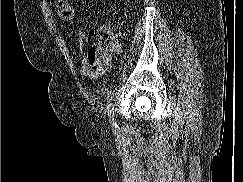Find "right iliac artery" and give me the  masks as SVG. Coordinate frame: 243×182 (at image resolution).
Instances as JSON below:
<instances>
[{
	"mask_svg": "<svg viewBox=\"0 0 243 182\" xmlns=\"http://www.w3.org/2000/svg\"><path fill=\"white\" fill-rule=\"evenodd\" d=\"M111 101H112V98L109 99V104L107 106V111H108V116H109V121L111 123V126L116 131L118 126H117V123H116V121L114 119V111H113V107H112Z\"/></svg>",
	"mask_w": 243,
	"mask_h": 182,
	"instance_id": "1",
	"label": "right iliac artery"
}]
</instances>
